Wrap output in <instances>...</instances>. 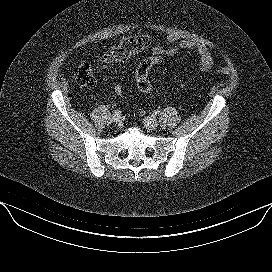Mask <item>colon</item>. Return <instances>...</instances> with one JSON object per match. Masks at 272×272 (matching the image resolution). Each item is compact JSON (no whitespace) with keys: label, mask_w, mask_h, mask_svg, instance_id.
<instances>
[{"label":"colon","mask_w":272,"mask_h":272,"mask_svg":"<svg viewBox=\"0 0 272 272\" xmlns=\"http://www.w3.org/2000/svg\"><path fill=\"white\" fill-rule=\"evenodd\" d=\"M149 38L145 36L131 37L126 46L112 47L100 60L99 65L102 68H108L113 64L125 60L130 55L137 53L149 45ZM162 62V56L153 55L143 60L136 72V84L138 89L148 95L153 94L154 90L149 82L148 74L153 66L159 65ZM222 74H227L228 69L221 67L218 70ZM75 81L84 87H92L96 82L95 68L89 63H81L74 70ZM114 91L117 95L123 94V86L115 85Z\"/></svg>","instance_id":"1"}]
</instances>
